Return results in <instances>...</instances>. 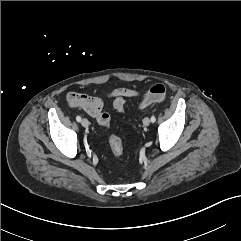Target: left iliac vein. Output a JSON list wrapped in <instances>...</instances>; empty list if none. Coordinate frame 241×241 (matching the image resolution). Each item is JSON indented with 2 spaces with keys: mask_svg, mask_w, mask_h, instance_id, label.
<instances>
[{
  "mask_svg": "<svg viewBox=\"0 0 241 241\" xmlns=\"http://www.w3.org/2000/svg\"><path fill=\"white\" fill-rule=\"evenodd\" d=\"M150 123H151V120H150L148 117H145V118L143 119V125H144L145 127L149 126Z\"/></svg>",
  "mask_w": 241,
  "mask_h": 241,
  "instance_id": "4c4485c4",
  "label": "left iliac vein"
}]
</instances>
